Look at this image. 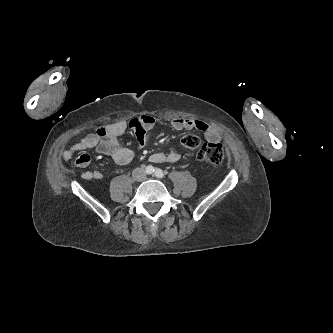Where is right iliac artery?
Wrapping results in <instances>:
<instances>
[{"label": "right iliac artery", "mask_w": 333, "mask_h": 333, "mask_svg": "<svg viewBox=\"0 0 333 333\" xmlns=\"http://www.w3.org/2000/svg\"><path fill=\"white\" fill-rule=\"evenodd\" d=\"M154 171H155V170H154V168H153L152 166H147V168H146V172H147L148 174H152Z\"/></svg>", "instance_id": "obj_1"}]
</instances>
